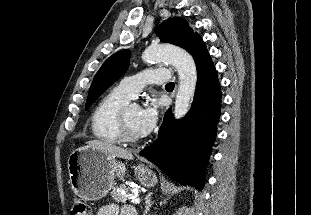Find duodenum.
<instances>
[{"instance_id":"duodenum-1","label":"duodenum","mask_w":311,"mask_h":215,"mask_svg":"<svg viewBox=\"0 0 311 215\" xmlns=\"http://www.w3.org/2000/svg\"><path fill=\"white\" fill-rule=\"evenodd\" d=\"M132 215H137V214L134 212V213H132Z\"/></svg>"}]
</instances>
